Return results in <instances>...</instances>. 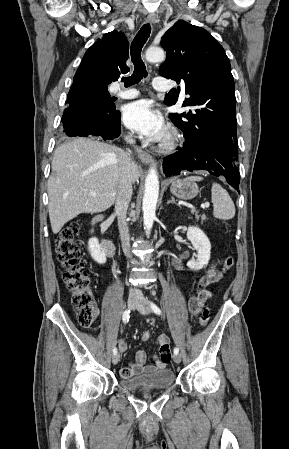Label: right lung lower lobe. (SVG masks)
<instances>
[{"mask_svg":"<svg viewBox=\"0 0 289 449\" xmlns=\"http://www.w3.org/2000/svg\"><path fill=\"white\" fill-rule=\"evenodd\" d=\"M94 89L91 85L74 81L67 95L66 103L69 107L65 109L62 123L64 133L67 136H100L104 140H113L121 133V113L115 109L113 104L109 115L104 119H85L81 113L86 108Z\"/></svg>","mask_w":289,"mask_h":449,"instance_id":"1","label":"right lung lower lobe"}]
</instances>
